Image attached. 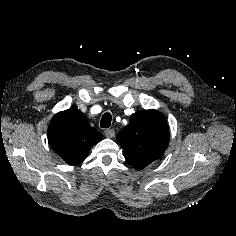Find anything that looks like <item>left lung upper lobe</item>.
Listing matches in <instances>:
<instances>
[{
    "instance_id": "obj_1",
    "label": "left lung upper lobe",
    "mask_w": 236,
    "mask_h": 236,
    "mask_svg": "<svg viewBox=\"0 0 236 236\" xmlns=\"http://www.w3.org/2000/svg\"><path fill=\"white\" fill-rule=\"evenodd\" d=\"M116 139L129 163L137 170L143 169L164 154L170 140L169 127L160 112L143 110L131 116Z\"/></svg>"
}]
</instances>
